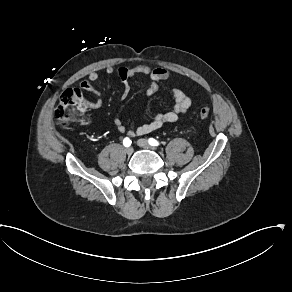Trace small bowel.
Returning a JSON list of instances; mask_svg holds the SVG:
<instances>
[{"label": "small bowel", "instance_id": "c3829d8e", "mask_svg": "<svg viewBox=\"0 0 292 292\" xmlns=\"http://www.w3.org/2000/svg\"><path fill=\"white\" fill-rule=\"evenodd\" d=\"M116 72L123 82V96H126L129 93V81L137 75H146L150 79V84L146 89L147 96L154 95L161 82L168 81L172 78L171 73L167 69L161 67L152 68L147 65H136L133 67L122 66L119 67ZM105 73L111 75L114 73V69L112 67H107ZM99 78V72L93 70L89 72L87 78L81 80L79 83L81 90L96 97L95 101L88 103L91 108H99L102 105L101 93L94 86V83L97 82ZM170 91L174 99V104L169 111L155 114L150 121L132 130L127 129L121 119L116 117L114 118L113 123L117 131L128 136L145 135L160 129L165 124L175 123L181 115L189 110L192 105V99L179 86H172Z\"/></svg>", "mask_w": 292, "mask_h": 292}]
</instances>
